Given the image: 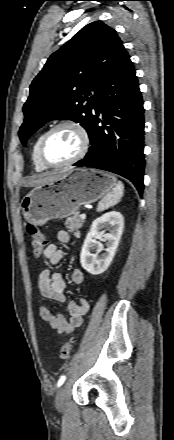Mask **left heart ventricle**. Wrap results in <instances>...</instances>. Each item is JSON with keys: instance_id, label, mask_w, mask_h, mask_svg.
Returning <instances> with one entry per match:
<instances>
[{"instance_id": "1", "label": "left heart ventricle", "mask_w": 174, "mask_h": 440, "mask_svg": "<svg viewBox=\"0 0 174 440\" xmlns=\"http://www.w3.org/2000/svg\"><path fill=\"white\" fill-rule=\"evenodd\" d=\"M80 137L72 128L55 130L44 146V157L51 164H60L71 159L79 150Z\"/></svg>"}]
</instances>
